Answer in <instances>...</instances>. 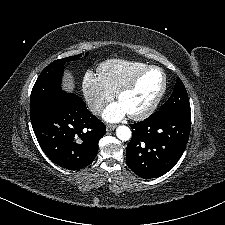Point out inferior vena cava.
<instances>
[{
  "label": "inferior vena cava",
  "instance_id": "inferior-vena-cava-1",
  "mask_svg": "<svg viewBox=\"0 0 225 225\" xmlns=\"http://www.w3.org/2000/svg\"><path fill=\"white\" fill-rule=\"evenodd\" d=\"M104 107H105V104L100 101H96V102H92L88 104V109L94 114L100 113Z\"/></svg>",
  "mask_w": 225,
  "mask_h": 225
}]
</instances>
